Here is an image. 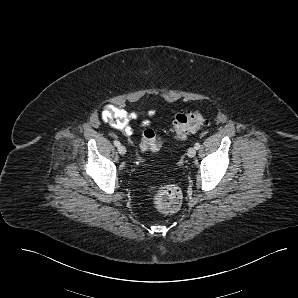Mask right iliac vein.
<instances>
[{
  "label": "right iliac vein",
  "instance_id": "obj_1",
  "mask_svg": "<svg viewBox=\"0 0 298 298\" xmlns=\"http://www.w3.org/2000/svg\"><path fill=\"white\" fill-rule=\"evenodd\" d=\"M118 152L120 155H125L126 154V148L123 145H120L118 147Z\"/></svg>",
  "mask_w": 298,
  "mask_h": 298
}]
</instances>
